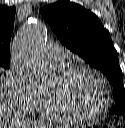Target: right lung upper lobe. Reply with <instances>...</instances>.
<instances>
[{
  "label": "right lung upper lobe",
  "mask_w": 125,
  "mask_h": 128,
  "mask_svg": "<svg viewBox=\"0 0 125 128\" xmlns=\"http://www.w3.org/2000/svg\"><path fill=\"white\" fill-rule=\"evenodd\" d=\"M15 7L0 5V60L10 59V38L14 26Z\"/></svg>",
  "instance_id": "right-lung-upper-lobe-1"
}]
</instances>
